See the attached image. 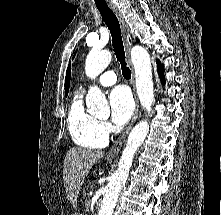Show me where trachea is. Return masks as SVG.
<instances>
[{"instance_id": "3493384b", "label": "trachea", "mask_w": 221, "mask_h": 215, "mask_svg": "<svg viewBox=\"0 0 221 215\" xmlns=\"http://www.w3.org/2000/svg\"><path fill=\"white\" fill-rule=\"evenodd\" d=\"M96 6L102 16L103 21L110 30L114 52L118 61L121 64L123 77L125 79H130L131 71L127 67L125 61V51H124L119 21L116 15L114 14V12L109 8V6L106 3H96Z\"/></svg>"}]
</instances>
